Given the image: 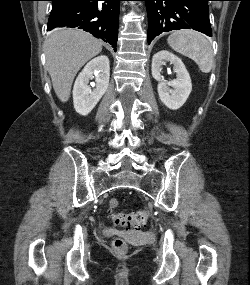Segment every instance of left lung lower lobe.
<instances>
[{"mask_svg":"<svg viewBox=\"0 0 250 285\" xmlns=\"http://www.w3.org/2000/svg\"><path fill=\"white\" fill-rule=\"evenodd\" d=\"M148 14V43L162 32L194 29L212 36L209 21L210 0H140Z\"/></svg>","mask_w":250,"mask_h":285,"instance_id":"left-lung-lower-lobe-1","label":"left lung lower lobe"}]
</instances>
